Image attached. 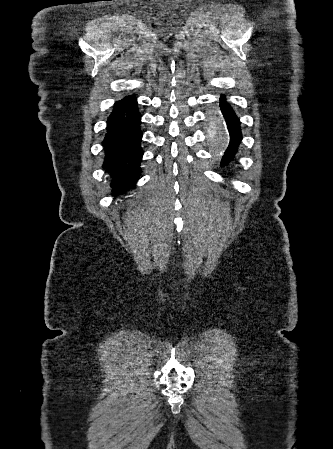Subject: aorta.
Instances as JSON below:
<instances>
[{
	"label": "aorta",
	"instance_id": "obj_1",
	"mask_svg": "<svg viewBox=\"0 0 333 449\" xmlns=\"http://www.w3.org/2000/svg\"><path fill=\"white\" fill-rule=\"evenodd\" d=\"M212 120L220 123L218 115L212 116ZM213 142L215 143L216 146L223 147L227 143V135H226L225 131L221 130L220 133L214 138Z\"/></svg>",
	"mask_w": 333,
	"mask_h": 449
}]
</instances>
